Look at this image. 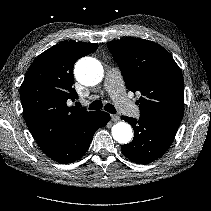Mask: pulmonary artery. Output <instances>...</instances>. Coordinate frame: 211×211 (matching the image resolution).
<instances>
[{
  "mask_svg": "<svg viewBox=\"0 0 211 211\" xmlns=\"http://www.w3.org/2000/svg\"><path fill=\"white\" fill-rule=\"evenodd\" d=\"M104 86L120 110L130 116L139 115L138 107L126 95L125 85L118 69L110 68L107 71Z\"/></svg>",
  "mask_w": 211,
  "mask_h": 211,
  "instance_id": "obj_1",
  "label": "pulmonary artery"
}]
</instances>
